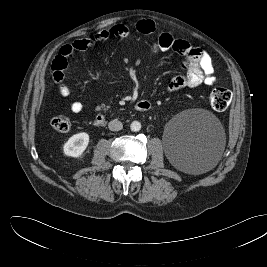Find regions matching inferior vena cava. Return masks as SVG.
Masks as SVG:
<instances>
[{
    "instance_id": "602c4592",
    "label": "inferior vena cava",
    "mask_w": 267,
    "mask_h": 267,
    "mask_svg": "<svg viewBox=\"0 0 267 267\" xmlns=\"http://www.w3.org/2000/svg\"><path fill=\"white\" fill-rule=\"evenodd\" d=\"M108 128L111 131H119L123 128V124L121 121L114 119V120L109 122Z\"/></svg>"
}]
</instances>
